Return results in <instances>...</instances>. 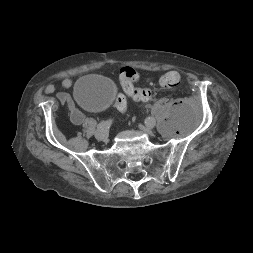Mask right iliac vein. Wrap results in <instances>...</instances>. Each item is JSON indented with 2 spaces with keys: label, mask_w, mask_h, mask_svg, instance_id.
<instances>
[{
  "label": "right iliac vein",
  "mask_w": 253,
  "mask_h": 253,
  "mask_svg": "<svg viewBox=\"0 0 253 253\" xmlns=\"http://www.w3.org/2000/svg\"><path fill=\"white\" fill-rule=\"evenodd\" d=\"M95 137L100 141H107V134L104 130H97L95 133Z\"/></svg>",
  "instance_id": "63e3f726"
}]
</instances>
